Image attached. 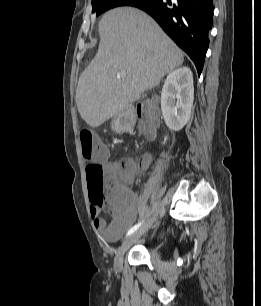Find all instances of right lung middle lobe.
<instances>
[{
  "mask_svg": "<svg viewBox=\"0 0 261 306\" xmlns=\"http://www.w3.org/2000/svg\"><path fill=\"white\" fill-rule=\"evenodd\" d=\"M138 0H92V13L99 16L103 12L118 6L131 5Z\"/></svg>",
  "mask_w": 261,
  "mask_h": 306,
  "instance_id": "right-lung-middle-lobe-1",
  "label": "right lung middle lobe"
}]
</instances>
